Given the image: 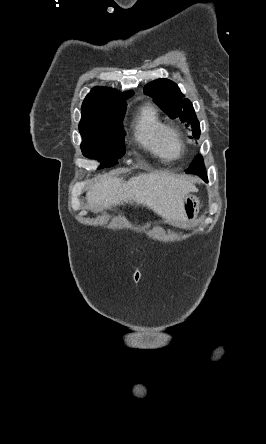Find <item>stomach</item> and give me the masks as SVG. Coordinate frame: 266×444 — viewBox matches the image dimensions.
Here are the masks:
<instances>
[{
  "mask_svg": "<svg viewBox=\"0 0 266 444\" xmlns=\"http://www.w3.org/2000/svg\"><path fill=\"white\" fill-rule=\"evenodd\" d=\"M183 220L186 224H191L197 218L199 212V200L194 195H186L183 204Z\"/></svg>",
  "mask_w": 266,
  "mask_h": 444,
  "instance_id": "0dacf381",
  "label": "stomach"
}]
</instances>
